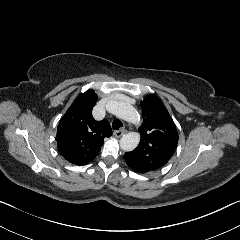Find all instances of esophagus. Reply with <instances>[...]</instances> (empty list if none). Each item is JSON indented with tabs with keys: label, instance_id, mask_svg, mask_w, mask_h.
<instances>
[{
	"label": "esophagus",
	"instance_id": "esophagus-1",
	"mask_svg": "<svg viewBox=\"0 0 240 240\" xmlns=\"http://www.w3.org/2000/svg\"><path fill=\"white\" fill-rule=\"evenodd\" d=\"M127 133L126 130H117V131H114V136H116L117 138L119 137H122L123 135H125Z\"/></svg>",
	"mask_w": 240,
	"mask_h": 240
}]
</instances>
